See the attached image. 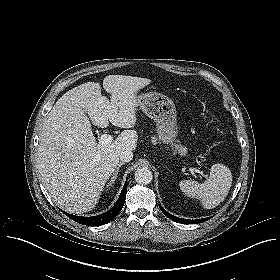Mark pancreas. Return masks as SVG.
Masks as SVG:
<instances>
[{"instance_id": "pancreas-1", "label": "pancreas", "mask_w": 280, "mask_h": 280, "mask_svg": "<svg viewBox=\"0 0 280 280\" xmlns=\"http://www.w3.org/2000/svg\"><path fill=\"white\" fill-rule=\"evenodd\" d=\"M153 141H156V139L153 137ZM175 149L181 154L184 155L186 153V148L181 145H175Z\"/></svg>"}]
</instances>
